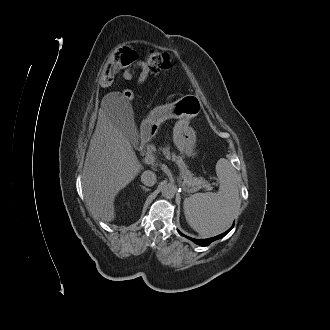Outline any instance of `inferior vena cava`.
Returning a JSON list of instances; mask_svg holds the SVG:
<instances>
[{"instance_id":"1","label":"inferior vena cava","mask_w":330,"mask_h":330,"mask_svg":"<svg viewBox=\"0 0 330 330\" xmlns=\"http://www.w3.org/2000/svg\"><path fill=\"white\" fill-rule=\"evenodd\" d=\"M157 181L156 174L153 171L146 170L141 175V182L146 186H153Z\"/></svg>"}]
</instances>
